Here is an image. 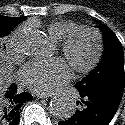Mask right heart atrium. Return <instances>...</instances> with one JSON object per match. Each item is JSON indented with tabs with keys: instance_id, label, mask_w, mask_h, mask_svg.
Segmentation results:
<instances>
[{
	"instance_id": "d8ad5b80",
	"label": "right heart atrium",
	"mask_w": 125,
	"mask_h": 125,
	"mask_svg": "<svg viewBox=\"0 0 125 125\" xmlns=\"http://www.w3.org/2000/svg\"><path fill=\"white\" fill-rule=\"evenodd\" d=\"M26 34V28L19 27L10 35L7 46L12 56L20 57L23 54V43L25 41Z\"/></svg>"
}]
</instances>
